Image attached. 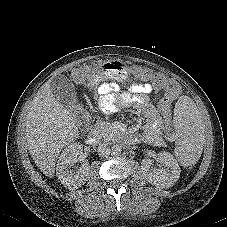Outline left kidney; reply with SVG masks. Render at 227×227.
<instances>
[{
	"instance_id": "left-kidney-1",
	"label": "left kidney",
	"mask_w": 227,
	"mask_h": 227,
	"mask_svg": "<svg viewBox=\"0 0 227 227\" xmlns=\"http://www.w3.org/2000/svg\"><path fill=\"white\" fill-rule=\"evenodd\" d=\"M158 162L161 168L150 167L147 162H143V175L146 179L158 188H169L176 183L180 177V167L177 160L168 152L158 154Z\"/></svg>"
}]
</instances>
